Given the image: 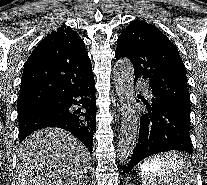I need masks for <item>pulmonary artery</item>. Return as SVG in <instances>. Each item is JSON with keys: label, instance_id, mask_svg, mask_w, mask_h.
<instances>
[{"label": "pulmonary artery", "instance_id": "obj_1", "mask_svg": "<svg viewBox=\"0 0 207 185\" xmlns=\"http://www.w3.org/2000/svg\"><path fill=\"white\" fill-rule=\"evenodd\" d=\"M142 91L145 93V94H148L149 93V89L147 87H143L142 88Z\"/></svg>", "mask_w": 207, "mask_h": 185}]
</instances>
